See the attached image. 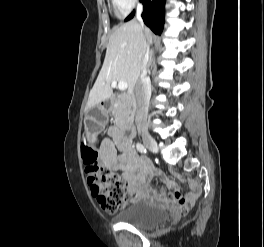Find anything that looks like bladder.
Returning a JSON list of instances; mask_svg holds the SVG:
<instances>
[{
    "label": "bladder",
    "mask_w": 264,
    "mask_h": 247,
    "mask_svg": "<svg viewBox=\"0 0 264 247\" xmlns=\"http://www.w3.org/2000/svg\"><path fill=\"white\" fill-rule=\"evenodd\" d=\"M167 209L144 201H134L117 215V220L142 229H154L167 223Z\"/></svg>",
    "instance_id": "obj_1"
}]
</instances>
